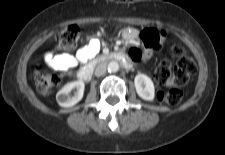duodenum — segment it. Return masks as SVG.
Listing matches in <instances>:
<instances>
[{
    "mask_svg": "<svg viewBox=\"0 0 225 155\" xmlns=\"http://www.w3.org/2000/svg\"><path fill=\"white\" fill-rule=\"evenodd\" d=\"M104 60L117 61L121 63L124 67L130 68L132 63L129 58L121 52H113L104 57L97 59L95 62L87 65L78 73V79L83 82H87L91 79L94 67Z\"/></svg>",
    "mask_w": 225,
    "mask_h": 155,
    "instance_id": "410a0bca",
    "label": "duodenum"
}]
</instances>
